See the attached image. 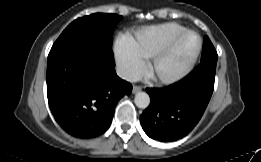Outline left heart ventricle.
Wrapping results in <instances>:
<instances>
[{
	"mask_svg": "<svg viewBox=\"0 0 261 162\" xmlns=\"http://www.w3.org/2000/svg\"><path fill=\"white\" fill-rule=\"evenodd\" d=\"M198 45L195 34H187L174 46L172 51L164 57L155 67V73L169 75L180 70L190 59Z\"/></svg>",
	"mask_w": 261,
	"mask_h": 162,
	"instance_id": "1",
	"label": "left heart ventricle"
}]
</instances>
